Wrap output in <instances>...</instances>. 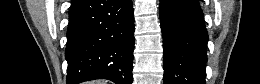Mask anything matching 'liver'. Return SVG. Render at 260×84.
<instances>
[{
	"mask_svg": "<svg viewBox=\"0 0 260 84\" xmlns=\"http://www.w3.org/2000/svg\"><path fill=\"white\" fill-rule=\"evenodd\" d=\"M90 84H107V83L106 81L97 80V81H92Z\"/></svg>",
	"mask_w": 260,
	"mask_h": 84,
	"instance_id": "liver-1",
	"label": "liver"
}]
</instances>
